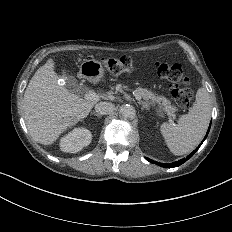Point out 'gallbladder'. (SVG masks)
Here are the masks:
<instances>
[{
  "instance_id": "obj_1",
  "label": "gallbladder",
  "mask_w": 232,
  "mask_h": 232,
  "mask_svg": "<svg viewBox=\"0 0 232 232\" xmlns=\"http://www.w3.org/2000/svg\"><path fill=\"white\" fill-rule=\"evenodd\" d=\"M64 87L73 93H76L78 91V82L77 79L73 76H67L64 78Z\"/></svg>"
}]
</instances>
